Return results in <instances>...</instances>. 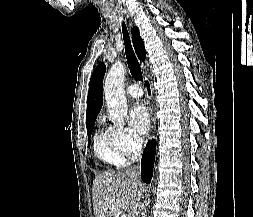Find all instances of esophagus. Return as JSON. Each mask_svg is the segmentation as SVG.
Returning <instances> with one entry per match:
<instances>
[{
  "label": "esophagus",
  "instance_id": "esophagus-1",
  "mask_svg": "<svg viewBox=\"0 0 253 217\" xmlns=\"http://www.w3.org/2000/svg\"><path fill=\"white\" fill-rule=\"evenodd\" d=\"M149 112H150V117H151V134L154 133L155 127H156V116L154 112V108L151 104H149Z\"/></svg>",
  "mask_w": 253,
  "mask_h": 217
}]
</instances>
